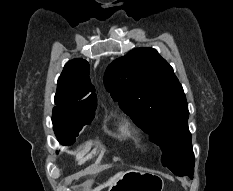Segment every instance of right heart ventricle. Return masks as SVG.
<instances>
[{"mask_svg":"<svg viewBox=\"0 0 233 191\" xmlns=\"http://www.w3.org/2000/svg\"><path fill=\"white\" fill-rule=\"evenodd\" d=\"M118 132L121 137L130 138L133 136L134 131L127 122H122L118 126Z\"/></svg>","mask_w":233,"mask_h":191,"instance_id":"e07e8e85","label":"right heart ventricle"}]
</instances>
